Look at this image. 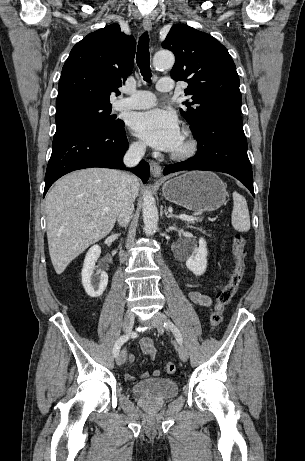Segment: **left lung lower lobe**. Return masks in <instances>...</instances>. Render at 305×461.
<instances>
[{
    "label": "left lung lower lobe",
    "instance_id": "0a47b994",
    "mask_svg": "<svg viewBox=\"0 0 305 461\" xmlns=\"http://www.w3.org/2000/svg\"><path fill=\"white\" fill-rule=\"evenodd\" d=\"M192 134L198 143L196 155L170 164L163 174L182 170H209L228 173L241 181L254 196L252 167L239 110L217 112L205 117Z\"/></svg>",
    "mask_w": 305,
    "mask_h": 461
}]
</instances>
